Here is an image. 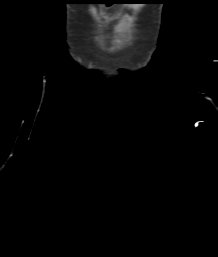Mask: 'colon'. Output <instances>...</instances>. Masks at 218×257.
Here are the masks:
<instances>
[{"label":"colon","instance_id":"obj_1","mask_svg":"<svg viewBox=\"0 0 218 257\" xmlns=\"http://www.w3.org/2000/svg\"><path fill=\"white\" fill-rule=\"evenodd\" d=\"M104 10H113V5H104Z\"/></svg>","mask_w":218,"mask_h":257}]
</instances>
